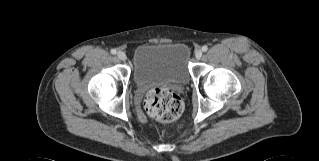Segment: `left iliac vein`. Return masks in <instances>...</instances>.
I'll list each match as a JSON object with an SVG mask.
<instances>
[{"label":"left iliac vein","instance_id":"4c4485c4","mask_svg":"<svg viewBox=\"0 0 319 161\" xmlns=\"http://www.w3.org/2000/svg\"><path fill=\"white\" fill-rule=\"evenodd\" d=\"M201 56H202V50H201V49L196 50V52H195V57H196L197 59H200Z\"/></svg>","mask_w":319,"mask_h":161}]
</instances>
